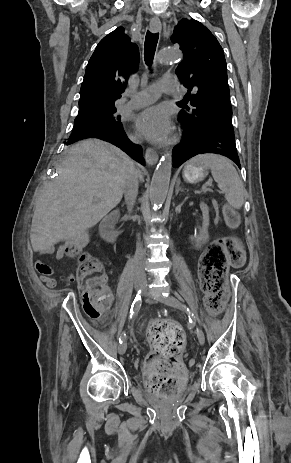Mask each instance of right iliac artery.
Segmentation results:
<instances>
[{
  "instance_id": "1",
  "label": "right iliac artery",
  "mask_w": 291,
  "mask_h": 463,
  "mask_svg": "<svg viewBox=\"0 0 291 463\" xmlns=\"http://www.w3.org/2000/svg\"><path fill=\"white\" fill-rule=\"evenodd\" d=\"M141 290L138 291L133 303H132V306H131V309H130V319L132 318V316H134L135 314L138 313L140 307H141ZM125 333L123 332L119 338V343H122L125 341Z\"/></svg>"
}]
</instances>
